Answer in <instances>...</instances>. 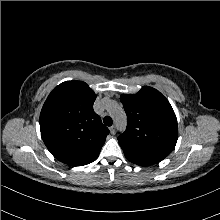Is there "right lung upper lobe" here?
Instances as JSON below:
<instances>
[{
    "instance_id": "cb5924a9",
    "label": "right lung upper lobe",
    "mask_w": 220,
    "mask_h": 220,
    "mask_svg": "<svg viewBox=\"0 0 220 220\" xmlns=\"http://www.w3.org/2000/svg\"><path fill=\"white\" fill-rule=\"evenodd\" d=\"M96 94L82 81H66L53 89L40 114L42 139L51 154L71 166L96 160L109 134L94 112Z\"/></svg>"
}]
</instances>
